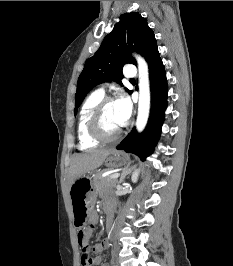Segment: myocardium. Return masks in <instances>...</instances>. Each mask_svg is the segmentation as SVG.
Segmentation results:
<instances>
[{"instance_id": "myocardium-1", "label": "myocardium", "mask_w": 233, "mask_h": 266, "mask_svg": "<svg viewBox=\"0 0 233 266\" xmlns=\"http://www.w3.org/2000/svg\"><path fill=\"white\" fill-rule=\"evenodd\" d=\"M115 102V98L111 96H104L94 107L89 123L88 132L89 135L98 142H111L116 140L122 133V129L119 128L116 132L112 134H107L102 128V116L104 109L107 104Z\"/></svg>"}]
</instances>
